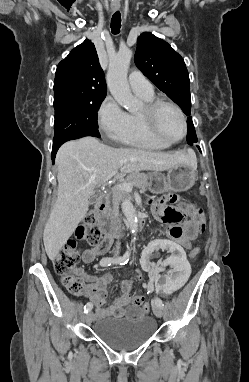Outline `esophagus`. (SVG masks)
Instances as JSON below:
<instances>
[{
	"label": "esophagus",
	"mask_w": 249,
	"mask_h": 382,
	"mask_svg": "<svg viewBox=\"0 0 249 382\" xmlns=\"http://www.w3.org/2000/svg\"><path fill=\"white\" fill-rule=\"evenodd\" d=\"M119 8H120V4L119 3H112L111 4V9H112L113 12L119 10Z\"/></svg>",
	"instance_id": "obj_1"
}]
</instances>
